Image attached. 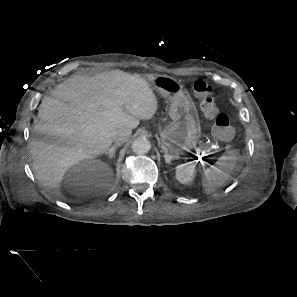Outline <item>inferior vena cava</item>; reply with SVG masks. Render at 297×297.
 <instances>
[{
    "instance_id": "inferior-vena-cava-1",
    "label": "inferior vena cava",
    "mask_w": 297,
    "mask_h": 297,
    "mask_svg": "<svg viewBox=\"0 0 297 297\" xmlns=\"http://www.w3.org/2000/svg\"><path fill=\"white\" fill-rule=\"evenodd\" d=\"M131 133L130 129H118L113 134V141L120 145L130 138Z\"/></svg>"
}]
</instances>
